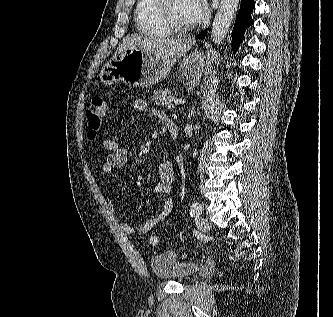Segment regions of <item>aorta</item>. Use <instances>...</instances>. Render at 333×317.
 Instances as JSON below:
<instances>
[{
	"instance_id": "762f6f07",
	"label": "aorta",
	"mask_w": 333,
	"mask_h": 317,
	"mask_svg": "<svg viewBox=\"0 0 333 317\" xmlns=\"http://www.w3.org/2000/svg\"><path fill=\"white\" fill-rule=\"evenodd\" d=\"M239 0H221L219 9L212 24L211 38L215 44H220L225 38L235 18ZM218 86V78L213 75L206 94L207 101L211 102Z\"/></svg>"
}]
</instances>
